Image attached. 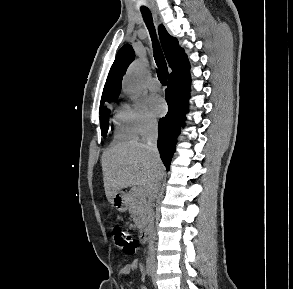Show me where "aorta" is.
<instances>
[{"label": "aorta", "mask_w": 293, "mask_h": 289, "mask_svg": "<svg viewBox=\"0 0 293 289\" xmlns=\"http://www.w3.org/2000/svg\"><path fill=\"white\" fill-rule=\"evenodd\" d=\"M145 64L142 61L131 64L123 78L122 85L130 93L132 99L139 97L142 91V80Z\"/></svg>", "instance_id": "aorta-1"}]
</instances>
